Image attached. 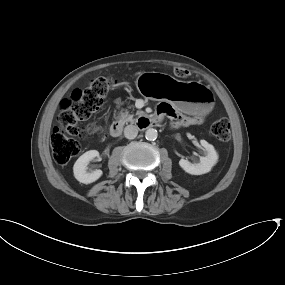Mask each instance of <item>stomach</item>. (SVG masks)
<instances>
[{"mask_svg":"<svg viewBox=\"0 0 285 285\" xmlns=\"http://www.w3.org/2000/svg\"><path fill=\"white\" fill-rule=\"evenodd\" d=\"M138 91L151 100H166L189 115H205L214 106V95L197 81H180L160 72H143L136 80Z\"/></svg>","mask_w":285,"mask_h":285,"instance_id":"1","label":"stomach"}]
</instances>
